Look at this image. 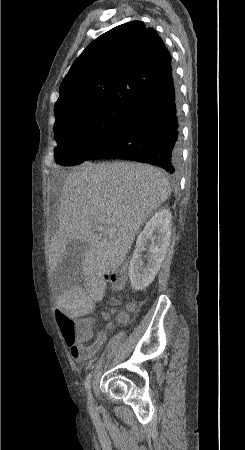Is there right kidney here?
<instances>
[{"label":"right kidney","instance_id":"right-kidney-1","mask_svg":"<svg viewBox=\"0 0 245 450\" xmlns=\"http://www.w3.org/2000/svg\"><path fill=\"white\" fill-rule=\"evenodd\" d=\"M171 219L168 209L157 211L137 238L129 266L131 285L137 291L148 287L161 267L170 243ZM149 240L151 244L148 245V259L144 264L141 253Z\"/></svg>","mask_w":245,"mask_h":450}]
</instances>
